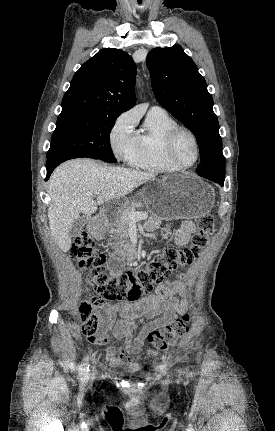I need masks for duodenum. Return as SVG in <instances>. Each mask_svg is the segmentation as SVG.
<instances>
[{
	"label": "duodenum",
	"instance_id": "1",
	"mask_svg": "<svg viewBox=\"0 0 275 431\" xmlns=\"http://www.w3.org/2000/svg\"><path fill=\"white\" fill-rule=\"evenodd\" d=\"M103 225H104L103 219L99 218L92 227V233L94 234V236L100 237L103 234ZM124 253L126 255L127 260L129 261L136 259L138 256L137 249L132 245L126 246L124 248Z\"/></svg>",
	"mask_w": 275,
	"mask_h": 431
}]
</instances>
